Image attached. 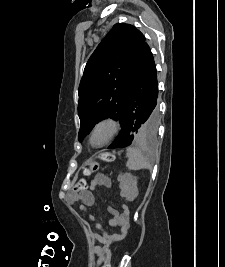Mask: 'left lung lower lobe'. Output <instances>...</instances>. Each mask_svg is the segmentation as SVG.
I'll return each instance as SVG.
<instances>
[{"label":"left lung lower lobe","mask_w":225,"mask_h":267,"mask_svg":"<svg viewBox=\"0 0 225 267\" xmlns=\"http://www.w3.org/2000/svg\"><path fill=\"white\" fill-rule=\"evenodd\" d=\"M158 83L156 66L152 52L145 43L125 102L122 130L114 143L108 148L129 146L135 139L140 123H148L146 131L158 127Z\"/></svg>","instance_id":"left-lung-lower-lobe-1"}]
</instances>
